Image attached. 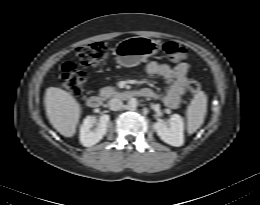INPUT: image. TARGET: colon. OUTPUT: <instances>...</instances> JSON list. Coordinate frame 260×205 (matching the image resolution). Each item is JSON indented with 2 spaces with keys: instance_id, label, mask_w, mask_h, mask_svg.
I'll list each match as a JSON object with an SVG mask.
<instances>
[{
  "instance_id": "colon-1",
  "label": "colon",
  "mask_w": 260,
  "mask_h": 205,
  "mask_svg": "<svg viewBox=\"0 0 260 205\" xmlns=\"http://www.w3.org/2000/svg\"><path fill=\"white\" fill-rule=\"evenodd\" d=\"M163 50L172 63H180L187 57V50L179 43L168 41ZM76 55L84 66L96 67L108 55V46L105 42H94L82 45L76 49ZM85 74L74 63L67 62L62 67L61 85L72 94H79L85 83ZM188 90L191 94L201 91V85L196 80L188 82Z\"/></svg>"
}]
</instances>
